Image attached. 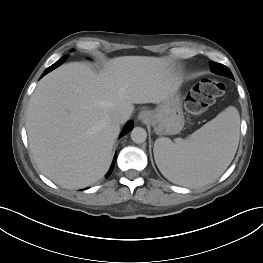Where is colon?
Returning <instances> with one entry per match:
<instances>
[{
  "instance_id": "1",
  "label": "colon",
  "mask_w": 263,
  "mask_h": 263,
  "mask_svg": "<svg viewBox=\"0 0 263 263\" xmlns=\"http://www.w3.org/2000/svg\"><path fill=\"white\" fill-rule=\"evenodd\" d=\"M225 92L223 83L215 79H202L188 93L185 108L192 115L204 113Z\"/></svg>"
}]
</instances>
